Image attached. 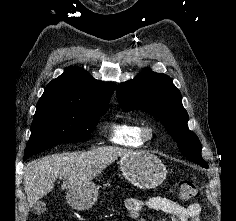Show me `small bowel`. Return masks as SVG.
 I'll return each mask as SVG.
<instances>
[{
  "instance_id": "c3829d8e",
  "label": "small bowel",
  "mask_w": 236,
  "mask_h": 221,
  "mask_svg": "<svg viewBox=\"0 0 236 221\" xmlns=\"http://www.w3.org/2000/svg\"><path fill=\"white\" fill-rule=\"evenodd\" d=\"M128 216L134 221H146L142 212L146 209L170 215L172 221H200L201 206L191 203L183 206L175 200L154 196L150 198L129 197L125 201Z\"/></svg>"
}]
</instances>
